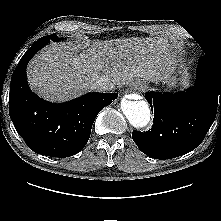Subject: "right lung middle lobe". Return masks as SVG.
I'll return each instance as SVG.
<instances>
[{
  "instance_id": "1",
  "label": "right lung middle lobe",
  "mask_w": 221,
  "mask_h": 221,
  "mask_svg": "<svg viewBox=\"0 0 221 221\" xmlns=\"http://www.w3.org/2000/svg\"><path fill=\"white\" fill-rule=\"evenodd\" d=\"M46 37H49L53 41H60L61 39L57 37V35L54 33L52 35H48Z\"/></svg>"
}]
</instances>
